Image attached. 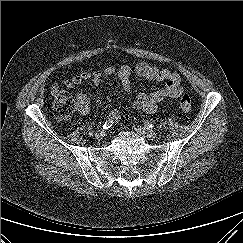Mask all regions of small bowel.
I'll list each match as a JSON object with an SVG mask.
<instances>
[{
    "label": "small bowel",
    "instance_id": "obj_1",
    "mask_svg": "<svg viewBox=\"0 0 243 243\" xmlns=\"http://www.w3.org/2000/svg\"><path fill=\"white\" fill-rule=\"evenodd\" d=\"M139 78H144L153 81H164L165 86L157 91L151 93L141 92L137 95L133 104V108L137 111L145 113H152L157 109L160 102L168 99L178 98L184 91L183 80L180 74L176 71L163 69L156 65L142 62L134 69L123 64L120 66L109 65L103 69H97L92 72H81L66 82L68 88H74L86 81L92 82L94 85H99L104 76H118L122 87L129 92L132 89V75ZM79 112L86 114L89 111V99L84 94H78ZM110 118L119 116L116 110L109 113Z\"/></svg>",
    "mask_w": 243,
    "mask_h": 243
}]
</instances>
